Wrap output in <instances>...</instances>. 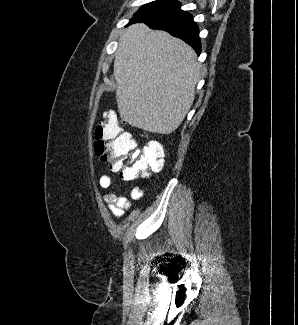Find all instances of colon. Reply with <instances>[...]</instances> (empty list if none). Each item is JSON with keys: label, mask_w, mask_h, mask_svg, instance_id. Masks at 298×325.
I'll return each mask as SVG.
<instances>
[{"label": "colon", "mask_w": 298, "mask_h": 325, "mask_svg": "<svg viewBox=\"0 0 298 325\" xmlns=\"http://www.w3.org/2000/svg\"><path fill=\"white\" fill-rule=\"evenodd\" d=\"M95 150L111 171L125 181L146 180L162 170L164 154L157 143H149L144 152L133 135L126 131L114 111H106L95 129Z\"/></svg>", "instance_id": "colon-1"}]
</instances>
